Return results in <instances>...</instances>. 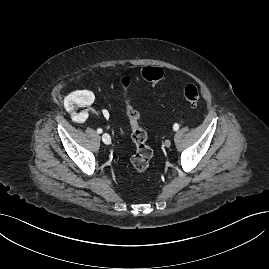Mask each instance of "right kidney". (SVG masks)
<instances>
[{
	"mask_svg": "<svg viewBox=\"0 0 269 269\" xmlns=\"http://www.w3.org/2000/svg\"><path fill=\"white\" fill-rule=\"evenodd\" d=\"M95 100V95L92 91L89 90H77L70 93L64 99V106L68 112H72L76 105L89 106ZM80 117L86 119L88 115L86 113H81Z\"/></svg>",
	"mask_w": 269,
	"mask_h": 269,
	"instance_id": "ca27d5eb",
	"label": "right kidney"
}]
</instances>
